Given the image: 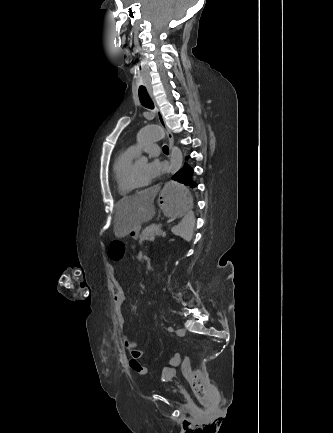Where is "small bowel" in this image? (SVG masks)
<instances>
[{
  "mask_svg": "<svg viewBox=\"0 0 333 433\" xmlns=\"http://www.w3.org/2000/svg\"><path fill=\"white\" fill-rule=\"evenodd\" d=\"M125 300V291L121 283L115 279L113 281V302L117 309V318L121 326H124L125 324V318L122 313V306ZM122 344L130 352V360H136L139 362V359L143 355V351L138 348L137 343L131 340L128 336L124 335L122 338Z\"/></svg>",
  "mask_w": 333,
  "mask_h": 433,
  "instance_id": "small-bowel-1",
  "label": "small bowel"
}]
</instances>
